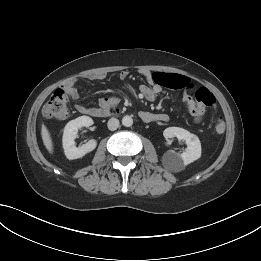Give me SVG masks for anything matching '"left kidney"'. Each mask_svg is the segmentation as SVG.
Masks as SVG:
<instances>
[{
    "label": "left kidney",
    "mask_w": 261,
    "mask_h": 261,
    "mask_svg": "<svg viewBox=\"0 0 261 261\" xmlns=\"http://www.w3.org/2000/svg\"><path fill=\"white\" fill-rule=\"evenodd\" d=\"M163 136L166 139L177 137L187 144L185 152L178 154L174 151H167L163 155V163L171 169H180L201 157V143L199 138L189 131L179 127H168L164 130Z\"/></svg>",
    "instance_id": "obj_1"
}]
</instances>
